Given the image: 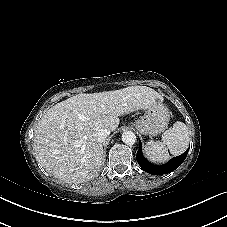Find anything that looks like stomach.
Wrapping results in <instances>:
<instances>
[{"mask_svg": "<svg viewBox=\"0 0 227 227\" xmlns=\"http://www.w3.org/2000/svg\"><path fill=\"white\" fill-rule=\"evenodd\" d=\"M169 109L161 103L149 107L146 113L135 120L133 126L141 133L150 137L161 134L169 124Z\"/></svg>", "mask_w": 227, "mask_h": 227, "instance_id": "obj_1", "label": "stomach"}]
</instances>
